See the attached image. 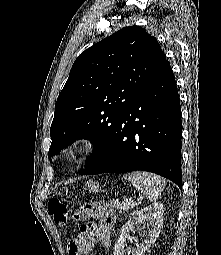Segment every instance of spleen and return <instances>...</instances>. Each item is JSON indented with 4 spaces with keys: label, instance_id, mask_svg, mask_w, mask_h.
Wrapping results in <instances>:
<instances>
[{
    "label": "spleen",
    "instance_id": "3e777b00",
    "mask_svg": "<svg viewBox=\"0 0 221 255\" xmlns=\"http://www.w3.org/2000/svg\"><path fill=\"white\" fill-rule=\"evenodd\" d=\"M124 179L128 180L139 192L145 194L149 201H156L163 192L166 181L161 176L149 172H131L124 174Z\"/></svg>",
    "mask_w": 221,
    "mask_h": 255
}]
</instances>
